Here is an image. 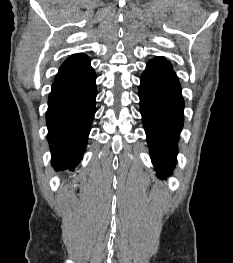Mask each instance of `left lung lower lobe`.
Segmentation results:
<instances>
[{"mask_svg":"<svg viewBox=\"0 0 233 263\" xmlns=\"http://www.w3.org/2000/svg\"><path fill=\"white\" fill-rule=\"evenodd\" d=\"M140 112L158 177L176 165L179 135L184 123V100L172 65L164 57L151 59L140 78Z\"/></svg>","mask_w":233,"mask_h":263,"instance_id":"1","label":"left lung lower lobe"}]
</instances>
